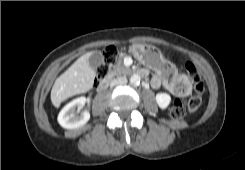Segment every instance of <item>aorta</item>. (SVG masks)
Returning a JSON list of instances; mask_svg holds the SVG:
<instances>
[{
    "mask_svg": "<svg viewBox=\"0 0 245 170\" xmlns=\"http://www.w3.org/2000/svg\"><path fill=\"white\" fill-rule=\"evenodd\" d=\"M140 81H141V78L138 74H133L131 77H130V83L132 85H138L140 84Z\"/></svg>",
    "mask_w": 245,
    "mask_h": 170,
    "instance_id": "obj_1",
    "label": "aorta"
}]
</instances>
